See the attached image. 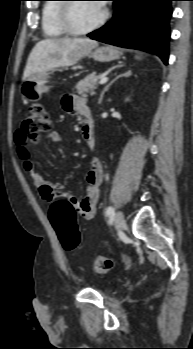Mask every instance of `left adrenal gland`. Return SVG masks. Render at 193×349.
I'll use <instances>...</instances> for the list:
<instances>
[{
    "mask_svg": "<svg viewBox=\"0 0 193 349\" xmlns=\"http://www.w3.org/2000/svg\"><path fill=\"white\" fill-rule=\"evenodd\" d=\"M131 74H132V72H131V70H129V71H127L126 73H123V74L118 75V76H117L115 79H113L108 85H106V86L104 87V89L102 90L101 94H100L98 103H99V104L102 103L103 96H104L105 92L108 91L109 87H110L117 79H119L120 77H129Z\"/></svg>",
    "mask_w": 193,
    "mask_h": 349,
    "instance_id": "1",
    "label": "left adrenal gland"
}]
</instances>
